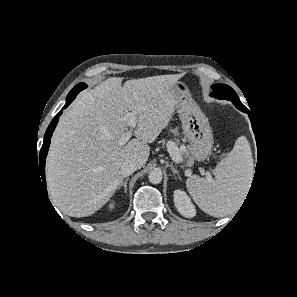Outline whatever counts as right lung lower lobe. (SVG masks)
Segmentation results:
<instances>
[{"instance_id":"obj_1","label":"right lung lower lobe","mask_w":297,"mask_h":297,"mask_svg":"<svg viewBox=\"0 0 297 297\" xmlns=\"http://www.w3.org/2000/svg\"><path fill=\"white\" fill-rule=\"evenodd\" d=\"M76 97V96H75ZM73 99L67 100L64 108L68 107L70 103H72ZM62 114V110L54 117V119L49 124L45 136H44V142L42 145V148L40 150V156H39V170L42 178V182L44 185V188L46 190V180H45V159L48 153L49 145H50V138L52 137L53 131L57 125V122L59 120V116ZM47 192V190H46Z\"/></svg>"}]
</instances>
